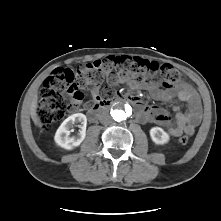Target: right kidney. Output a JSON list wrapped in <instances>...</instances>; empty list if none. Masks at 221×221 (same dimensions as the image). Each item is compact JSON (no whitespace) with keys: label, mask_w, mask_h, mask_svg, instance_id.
Instances as JSON below:
<instances>
[{"label":"right kidney","mask_w":221,"mask_h":221,"mask_svg":"<svg viewBox=\"0 0 221 221\" xmlns=\"http://www.w3.org/2000/svg\"><path fill=\"white\" fill-rule=\"evenodd\" d=\"M75 123H80L77 136H70L71 128ZM87 118L82 113H76L65 119L57 129L54 140L57 145L65 149H73L81 144L86 136Z\"/></svg>","instance_id":"ca27d5eb"}]
</instances>
